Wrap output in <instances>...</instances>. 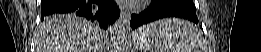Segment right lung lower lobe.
<instances>
[{"label": "right lung lower lobe", "instance_id": "right-lung-lower-lobe-1", "mask_svg": "<svg viewBox=\"0 0 261 52\" xmlns=\"http://www.w3.org/2000/svg\"><path fill=\"white\" fill-rule=\"evenodd\" d=\"M69 13L95 21L107 29L120 16L113 0H41V21L45 16Z\"/></svg>", "mask_w": 261, "mask_h": 52}]
</instances>
